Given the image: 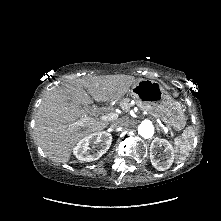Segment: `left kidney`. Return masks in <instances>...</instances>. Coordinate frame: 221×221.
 Returning a JSON list of instances; mask_svg holds the SVG:
<instances>
[{
	"label": "left kidney",
	"mask_w": 221,
	"mask_h": 221,
	"mask_svg": "<svg viewBox=\"0 0 221 221\" xmlns=\"http://www.w3.org/2000/svg\"><path fill=\"white\" fill-rule=\"evenodd\" d=\"M164 147L165 157L164 159L158 160L155 158L158 147ZM150 159L152 165L159 171H165L169 169L174 161V150L172 145L166 139L156 138L152 141L150 146Z\"/></svg>",
	"instance_id": "5707ae66"
}]
</instances>
